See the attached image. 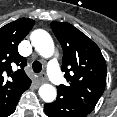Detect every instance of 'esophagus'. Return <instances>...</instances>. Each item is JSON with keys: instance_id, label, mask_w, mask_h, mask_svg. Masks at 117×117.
<instances>
[{"instance_id": "obj_1", "label": "esophagus", "mask_w": 117, "mask_h": 117, "mask_svg": "<svg viewBox=\"0 0 117 117\" xmlns=\"http://www.w3.org/2000/svg\"><path fill=\"white\" fill-rule=\"evenodd\" d=\"M46 81V75L45 73L40 74L39 76V82L44 83Z\"/></svg>"}]
</instances>
